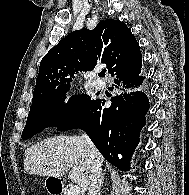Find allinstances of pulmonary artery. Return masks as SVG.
<instances>
[{"label":"pulmonary artery","mask_w":189,"mask_h":195,"mask_svg":"<svg viewBox=\"0 0 189 195\" xmlns=\"http://www.w3.org/2000/svg\"><path fill=\"white\" fill-rule=\"evenodd\" d=\"M92 86L95 89H104L106 87V83L101 81V80H93L92 81Z\"/></svg>","instance_id":"1"}]
</instances>
